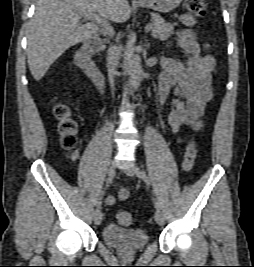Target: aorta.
Instances as JSON below:
<instances>
[{"instance_id": "aorta-1", "label": "aorta", "mask_w": 254, "mask_h": 267, "mask_svg": "<svg viewBox=\"0 0 254 267\" xmlns=\"http://www.w3.org/2000/svg\"><path fill=\"white\" fill-rule=\"evenodd\" d=\"M128 74L129 83L134 91L138 90L142 79L141 58L134 53L133 48L128 52Z\"/></svg>"}]
</instances>
